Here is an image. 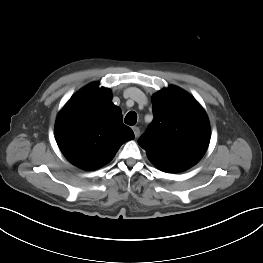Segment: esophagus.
<instances>
[{"instance_id": "obj_1", "label": "esophagus", "mask_w": 263, "mask_h": 263, "mask_svg": "<svg viewBox=\"0 0 263 263\" xmlns=\"http://www.w3.org/2000/svg\"><path fill=\"white\" fill-rule=\"evenodd\" d=\"M132 129H133V132H134L135 137H136V138L139 137V135H140V129H139V127L134 126Z\"/></svg>"}]
</instances>
